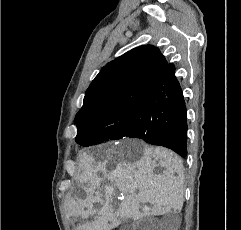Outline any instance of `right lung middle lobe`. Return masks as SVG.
Here are the masks:
<instances>
[{
	"label": "right lung middle lobe",
	"mask_w": 241,
	"mask_h": 230,
	"mask_svg": "<svg viewBox=\"0 0 241 230\" xmlns=\"http://www.w3.org/2000/svg\"><path fill=\"white\" fill-rule=\"evenodd\" d=\"M150 104L132 109H116L99 121L80 122L77 124L75 140L82 146H92L128 137L125 133L143 131L150 124V120L144 116Z\"/></svg>",
	"instance_id": "1"
}]
</instances>
